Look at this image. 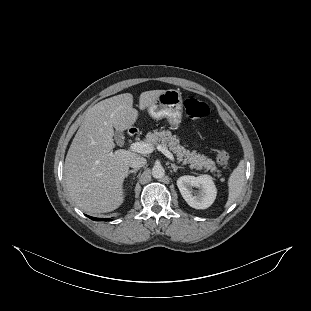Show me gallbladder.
<instances>
[{"mask_svg": "<svg viewBox=\"0 0 311 311\" xmlns=\"http://www.w3.org/2000/svg\"><path fill=\"white\" fill-rule=\"evenodd\" d=\"M114 139L117 144H122L124 142V135L122 132L116 131L114 135Z\"/></svg>", "mask_w": 311, "mask_h": 311, "instance_id": "gallbladder-1", "label": "gallbladder"}]
</instances>
